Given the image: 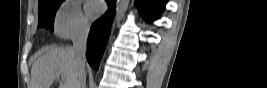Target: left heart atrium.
Listing matches in <instances>:
<instances>
[{
	"instance_id": "left-heart-atrium-1",
	"label": "left heart atrium",
	"mask_w": 267,
	"mask_h": 88,
	"mask_svg": "<svg viewBox=\"0 0 267 88\" xmlns=\"http://www.w3.org/2000/svg\"><path fill=\"white\" fill-rule=\"evenodd\" d=\"M85 9L90 18H96L102 12V5L98 1H88Z\"/></svg>"
}]
</instances>
